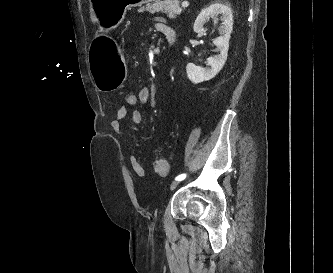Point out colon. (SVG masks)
<instances>
[{
	"mask_svg": "<svg viewBox=\"0 0 333 273\" xmlns=\"http://www.w3.org/2000/svg\"><path fill=\"white\" fill-rule=\"evenodd\" d=\"M124 107L131 108L138 104V94L130 92L124 97ZM170 163L166 159H158L154 164V171L159 176H166L169 172Z\"/></svg>",
	"mask_w": 333,
	"mask_h": 273,
	"instance_id": "obj_1",
	"label": "colon"
}]
</instances>
